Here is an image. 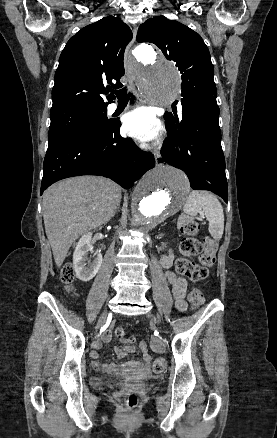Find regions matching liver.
Wrapping results in <instances>:
<instances>
[{"instance_id": "6515ba94", "label": "liver", "mask_w": 277, "mask_h": 438, "mask_svg": "<svg viewBox=\"0 0 277 438\" xmlns=\"http://www.w3.org/2000/svg\"><path fill=\"white\" fill-rule=\"evenodd\" d=\"M121 198L120 186L100 176L67 178L44 192L45 232L57 268L79 236L115 216Z\"/></svg>"}]
</instances>
